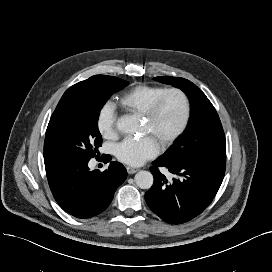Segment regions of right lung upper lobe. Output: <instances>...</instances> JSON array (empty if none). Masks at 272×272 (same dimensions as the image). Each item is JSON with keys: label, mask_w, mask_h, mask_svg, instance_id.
<instances>
[{"label": "right lung upper lobe", "mask_w": 272, "mask_h": 272, "mask_svg": "<svg viewBox=\"0 0 272 272\" xmlns=\"http://www.w3.org/2000/svg\"><path fill=\"white\" fill-rule=\"evenodd\" d=\"M100 76L101 75L92 76L89 79L81 81V82L73 85L69 89H67L66 92L64 93V95L62 96V98L60 99L56 108L64 105L68 101L75 100V99L81 97L84 93L88 92L92 88L94 82Z\"/></svg>", "instance_id": "cb5924a9"}]
</instances>
